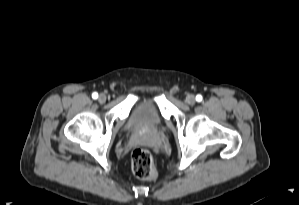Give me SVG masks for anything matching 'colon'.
Returning a JSON list of instances; mask_svg holds the SVG:
<instances>
[{
    "label": "colon",
    "mask_w": 299,
    "mask_h": 205,
    "mask_svg": "<svg viewBox=\"0 0 299 205\" xmlns=\"http://www.w3.org/2000/svg\"><path fill=\"white\" fill-rule=\"evenodd\" d=\"M131 167L134 175L142 180H155L157 171L150 152L146 149H135L131 154Z\"/></svg>",
    "instance_id": "obj_1"
}]
</instances>
